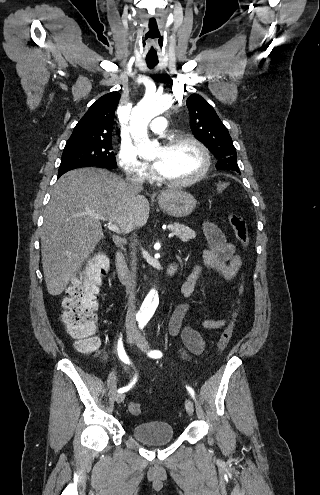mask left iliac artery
<instances>
[{
    "label": "left iliac artery",
    "mask_w": 320,
    "mask_h": 495,
    "mask_svg": "<svg viewBox=\"0 0 320 495\" xmlns=\"http://www.w3.org/2000/svg\"><path fill=\"white\" fill-rule=\"evenodd\" d=\"M147 323V320L146 319H143V320H140L139 321V326L141 329L144 328V326L146 325ZM148 355L152 358H161L162 357V352L160 350H153V351H150V353H148ZM186 389L189 391V393L191 394L192 398L194 399L195 398V395H194V390L189 387V386H186Z\"/></svg>",
    "instance_id": "left-iliac-artery-1"
}]
</instances>
